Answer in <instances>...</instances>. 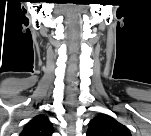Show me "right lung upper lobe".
<instances>
[{"label":"right lung upper lobe","mask_w":151,"mask_h":136,"mask_svg":"<svg viewBox=\"0 0 151 136\" xmlns=\"http://www.w3.org/2000/svg\"><path fill=\"white\" fill-rule=\"evenodd\" d=\"M52 133V124L45 115L40 114L25 125L21 136H50Z\"/></svg>","instance_id":"1"}]
</instances>
